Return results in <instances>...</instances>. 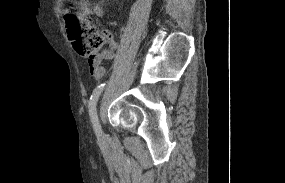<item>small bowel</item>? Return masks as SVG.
<instances>
[{
  "label": "small bowel",
  "instance_id": "obj_1",
  "mask_svg": "<svg viewBox=\"0 0 285 183\" xmlns=\"http://www.w3.org/2000/svg\"><path fill=\"white\" fill-rule=\"evenodd\" d=\"M81 12L87 16L102 17L104 9L101 2L92 3L89 0H81ZM115 47L105 49L95 60H89V72L95 80H100L106 73L105 62L115 58Z\"/></svg>",
  "mask_w": 285,
  "mask_h": 183
}]
</instances>
